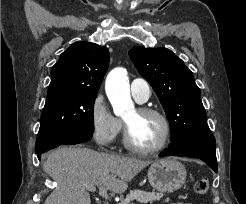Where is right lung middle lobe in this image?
Here are the masks:
<instances>
[{"mask_svg":"<svg viewBox=\"0 0 246 204\" xmlns=\"http://www.w3.org/2000/svg\"><path fill=\"white\" fill-rule=\"evenodd\" d=\"M96 95H68L46 101L35 152L44 153L62 145L79 132L93 133Z\"/></svg>","mask_w":246,"mask_h":204,"instance_id":"right-lung-middle-lobe-1","label":"right lung middle lobe"}]
</instances>
